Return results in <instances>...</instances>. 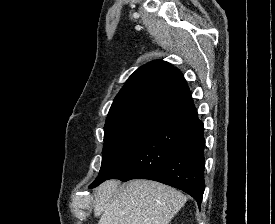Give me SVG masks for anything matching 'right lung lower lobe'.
<instances>
[{
	"instance_id": "obj_1",
	"label": "right lung lower lobe",
	"mask_w": 275,
	"mask_h": 224,
	"mask_svg": "<svg viewBox=\"0 0 275 224\" xmlns=\"http://www.w3.org/2000/svg\"><path fill=\"white\" fill-rule=\"evenodd\" d=\"M204 149V126L188 97L164 113L108 179L158 181L188 193L200 207L205 188Z\"/></svg>"
}]
</instances>
